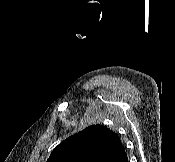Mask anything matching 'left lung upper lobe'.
<instances>
[{"mask_svg": "<svg viewBox=\"0 0 175 162\" xmlns=\"http://www.w3.org/2000/svg\"><path fill=\"white\" fill-rule=\"evenodd\" d=\"M120 144L115 132L96 124L62 141L47 162H105Z\"/></svg>", "mask_w": 175, "mask_h": 162, "instance_id": "1", "label": "left lung upper lobe"}]
</instances>
